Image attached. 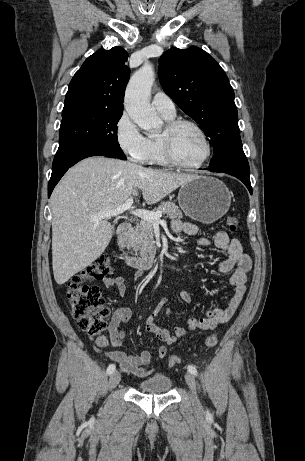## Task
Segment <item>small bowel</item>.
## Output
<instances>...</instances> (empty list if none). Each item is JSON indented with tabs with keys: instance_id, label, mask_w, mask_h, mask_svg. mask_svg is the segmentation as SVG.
I'll return each instance as SVG.
<instances>
[{
	"instance_id": "small-bowel-1",
	"label": "small bowel",
	"mask_w": 305,
	"mask_h": 461,
	"mask_svg": "<svg viewBox=\"0 0 305 461\" xmlns=\"http://www.w3.org/2000/svg\"><path fill=\"white\" fill-rule=\"evenodd\" d=\"M172 231L175 234L185 233L193 236L197 234L198 227L193 223L176 219L172 221ZM211 244L227 253V258L218 265L217 272L219 274L231 273L229 283L234 289L233 295L225 308L212 309L202 318L191 317L188 319L187 328L176 326L173 329V333L159 326L157 323V317L163 309H165L167 317H170L172 312L171 307H166L168 297H162L145 322L146 331L155 334L163 343L157 350L155 361L165 358L167 355V346L175 343L178 337L185 336L188 331H209L229 321L243 300L246 292V276L252 266L250 257L243 251V247L238 239L230 238L223 231L218 232L213 240L207 238L197 240V245L201 247ZM102 283L105 288H116L119 296H125L127 287L123 277H106ZM180 296L185 302H191V296L187 292L182 291ZM131 317L132 311L129 307H118L109 319L105 333L96 338V344L106 349L108 358L116 362L122 371L130 373L137 378H146L154 371L150 352L142 351L138 355H127L125 352L117 350V348L125 344V332L121 325L128 322Z\"/></svg>"
}]
</instances>
